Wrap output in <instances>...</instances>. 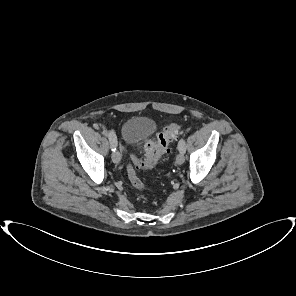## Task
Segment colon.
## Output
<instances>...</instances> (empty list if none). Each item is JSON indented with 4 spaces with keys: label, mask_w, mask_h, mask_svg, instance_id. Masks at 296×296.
Instances as JSON below:
<instances>
[{
    "label": "colon",
    "mask_w": 296,
    "mask_h": 296,
    "mask_svg": "<svg viewBox=\"0 0 296 296\" xmlns=\"http://www.w3.org/2000/svg\"><path fill=\"white\" fill-rule=\"evenodd\" d=\"M181 133V127L177 123H171L166 126L156 139L146 143V157L140 159L131 155V163L128 166V177L131 184L139 190H148V187L138 177L136 169H152L155 167L167 153H169L170 143Z\"/></svg>",
    "instance_id": "colon-1"
}]
</instances>
